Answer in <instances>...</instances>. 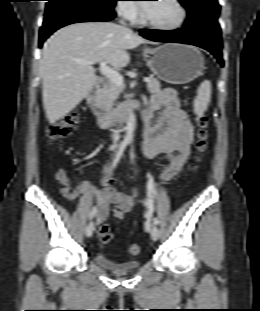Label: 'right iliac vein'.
Wrapping results in <instances>:
<instances>
[{
    "label": "right iliac vein",
    "mask_w": 260,
    "mask_h": 311,
    "mask_svg": "<svg viewBox=\"0 0 260 311\" xmlns=\"http://www.w3.org/2000/svg\"><path fill=\"white\" fill-rule=\"evenodd\" d=\"M94 229H95V225H94V222H90L87 226H86V229H85V234L87 237H91L93 232H94Z\"/></svg>",
    "instance_id": "right-iliac-vein-1"
}]
</instances>
